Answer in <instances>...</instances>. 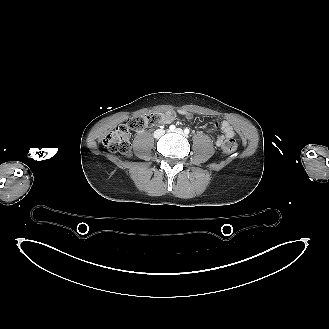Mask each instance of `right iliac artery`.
Returning <instances> with one entry per match:
<instances>
[{
  "label": "right iliac artery",
  "instance_id": "1",
  "mask_svg": "<svg viewBox=\"0 0 329 329\" xmlns=\"http://www.w3.org/2000/svg\"><path fill=\"white\" fill-rule=\"evenodd\" d=\"M175 128H176L175 125H171V126L169 127V129H170L171 131H173Z\"/></svg>",
  "mask_w": 329,
  "mask_h": 329
}]
</instances>
